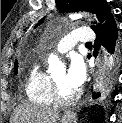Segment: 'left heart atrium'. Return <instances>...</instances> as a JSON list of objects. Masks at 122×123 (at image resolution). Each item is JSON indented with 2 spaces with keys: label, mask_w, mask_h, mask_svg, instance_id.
Here are the masks:
<instances>
[{
  "label": "left heart atrium",
  "mask_w": 122,
  "mask_h": 123,
  "mask_svg": "<svg viewBox=\"0 0 122 123\" xmlns=\"http://www.w3.org/2000/svg\"><path fill=\"white\" fill-rule=\"evenodd\" d=\"M86 78V69L84 62L80 57H73L71 59L69 68L65 73V84L74 90H78L84 83Z\"/></svg>",
  "instance_id": "1"
}]
</instances>
